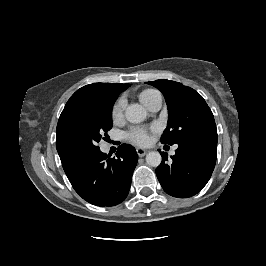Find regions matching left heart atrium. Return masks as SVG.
<instances>
[{
  "instance_id": "obj_1",
  "label": "left heart atrium",
  "mask_w": 266,
  "mask_h": 266,
  "mask_svg": "<svg viewBox=\"0 0 266 266\" xmlns=\"http://www.w3.org/2000/svg\"><path fill=\"white\" fill-rule=\"evenodd\" d=\"M127 139L139 146H146L151 141L149 130L145 127L136 126L127 133Z\"/></svg>"
}]
</instances>
